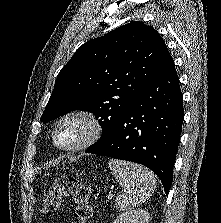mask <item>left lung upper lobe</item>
I'll return each instance as SVG.
<instances>
[{"instance_id":"1","label":"left lung upper lobe","mask_w":221,"mask_h":223,"mask_svg":"<svg viewBox=\"0 0 221 223\" xmlns=\"http://www.w3.org/2000/svg\"><path fill=\"white\" fill-rule=\"evenodd\" d=\"M168 54L160 34L140 21L84 43L59 72L41 121L73 110L91 112L102 127L97 144L157 76Z\"/></svg>"}]
</instances>
